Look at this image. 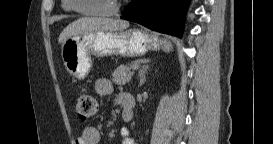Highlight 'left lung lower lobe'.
Returning a JSON list of instances; mask_svg holds the SVG:
<instances>
[{
	"instance_id": "1",
	"label": "left lung lower lobe",
	"mask_w": 273,
	"mask_h": 144,
	"mask_svg": "<svg viewBox=\"0 0 273 144\" xmlns=\"http://www.w3.org/2000/svg\"><path fill=\"white\" fill-rule=\"evenodd\" d=\"M190 0H132L121 18L181 37Z\"/></svg>"
}]
</instances>
